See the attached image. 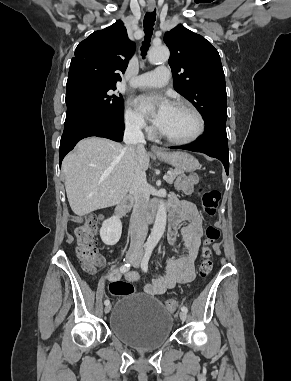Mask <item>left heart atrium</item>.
Returning a JSON list of instances; mask_svg holds the SVG:
<instances>
[{"label": "left heart atrium", "instance_id": "39dd6f15", "mask_svg": "<svg viewBox=\"0 0 291 381\" xmlns=\"http://www.w3.org/2000/svg\"><path fill=\"white\" fill-rule=\"evenodd\" d=\"M139 109L150 115L153 109L156 112L152 116L154 124L161 129L165 124L168 116L172 112L174 106L166 99H161L156 96H142L138 99Z\"/></svg>", "mask_w": 291, "mask_h": 381}]
</instances>
